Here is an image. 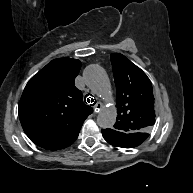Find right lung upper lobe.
<instances>
[{
    "label": "right lung upper lobe",
    "instance_id": "1",
    "mask_svg": "<svg viewBox=\"0 0 193 193\" xmlns=\"http://www.w3.org/2000/svg\"><path fill=\"white\" fill-rule=\"evenodd\" d=\"M80 68L79 60L58 58L27 83L19 103V118L27 136L38 146L49 150L68 147L93 112L74 86Z\"/></svg>",
    "mask_w": 193,
    "mask_h": 193
}]
</instances>
